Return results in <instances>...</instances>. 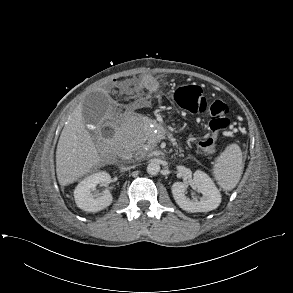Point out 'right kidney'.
<instances>
[{
  "label": "right kidney",
  "mask_w": 293,
  "mask_h": 293,
  "mask_svg": "<svg viewBox=\"0 0 293 293\" xmlns=\"http://www.w3.org/2000/svg\"><path fill=\"white\" fill-rule=\"evenodd\" d=\"M110 182L111 176L105 171L94 173L83 179L74 190L76 205L87 212H98L108 207L113 201V196L108 190L98 198H94L91 191L98 184L107 185Z\"/></svg>",
  "instance_id": "obj_1"
}]
</instances>
